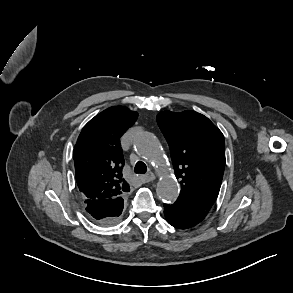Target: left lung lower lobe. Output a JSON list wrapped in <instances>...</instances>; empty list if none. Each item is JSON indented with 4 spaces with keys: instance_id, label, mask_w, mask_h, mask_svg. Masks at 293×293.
I'll return each mask as SVG.
<instances>
[{
    "instance_id": "1",
    "label": "left lung lower lobe",
    "mask_w": 293,
    "mask_h": 293,
    "mask_svg": "<svg viewBox=\"0 0 293 293\" xmlns=\"http://www.w3.org/2000/svg\"><path fill=\"white\" fill-rule=\"evenodd\" d=\"M164 215L170 225L187 229L201 222L207 212L177 199L172 205L164 204Z\"/></svg>"
}]
</instances>
